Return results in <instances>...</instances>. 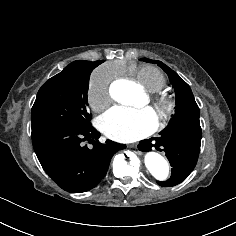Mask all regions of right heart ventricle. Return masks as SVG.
I'll return each instance as SVG.
<instances>
[{"mask_svg": "<svg viewBox=\"0 0 236 236\" xmlns=\"http://www.w3.org/2000/svg\"><path fill=\"white\" fill-rule=\"evenodd\" d=\"M117 74H129L131 81L140 84L145 90L152 94L158 93L166 87L164 75L152 66H134L128 68L125 65H122L117 71Z\"/></svg>", "mask_w": 236, "mask_h": 236, "instance_id": "right-heart-ventricle-1", "label": "right heart ventricle"}]
</instances>
